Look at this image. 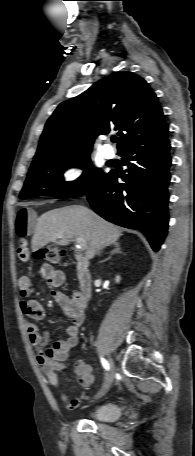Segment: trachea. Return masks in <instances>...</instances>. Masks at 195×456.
<instances>
[{
	"label": "trachea",
	"instance_id": "3493384b",
	"mask_svg": "<svg viewBox=\"0 0 195 456\" xmlns=\"http://www.w3.org/2000/svg\"><path fill=\"white\" fill-rule=\"evenodd\" d=\"M117 141H118V139L116 137L112 138V142H117Z\"/></svg>",
	"mask_w": 195,
	"mask_h": 456
}]
</instances>
